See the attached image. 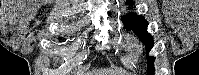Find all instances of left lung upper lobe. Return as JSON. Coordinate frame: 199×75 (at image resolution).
Segmentation results:
<instances>
[{
  "label": "left lung upper lobe",
  "instance_id": "5c2ea615",
  "mask_svg": "<svg viewBox=\"0 0 199 75\" xmlns=\"http://www.w3.org/2000/svg\"><path fill=\"white\" fill-rule=\"evenodd\" d=\"M128 4L131 5L133 4V2L129 1ZM122 21L124 22L127 29H132L134 33L138 35V37H141V41L146 45V52L149 53V51L152 49L154 45V42L153 37L147 32L148 22L145 20V18L141 15L130 13L128 15L123 16ZM154 60V57L147 56V69L150 75H153L154 73Z\"/></svg>",
  "mask_w": 199,
  "mask_h": 75
}]
</instances>
